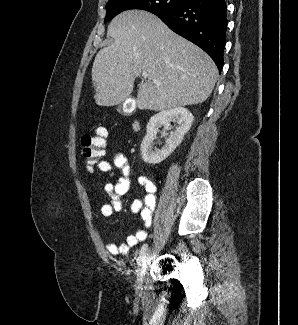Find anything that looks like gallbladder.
I'll return each instance as SVG.
<instances>
[{
    "mask_svg": "<svg viewBox=\"0 0 298 325\" xmlns=\"http://www.w3.org/2000/svg\"><path fill=\"white\" fill-rule=\"evenodd\" d=\"M116 110H117V112H120V114H124L123 102H121V104H117Z\"/></svg>",
    "mask_w": 298,
    "mask_h": 325,
    "instance_id": "gallbladder-1",
    "label": "gallbladder"
}]
</instances>
